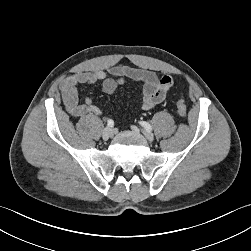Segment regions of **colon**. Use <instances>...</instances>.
<instances>
[{
    "label": "colon",
    "mask_w": 251,
    "mask_h": 251,
    "mask_svg": "<svg viewBox=\"0 0 251 251\" xmlns=\"http://www.w3.org/2000/svg\"><path fill=\"white\" fill-rule=\"evenodd\" d=\"M177 112L181 117L187 116V107L182 99L177 101Z\"/></svg>",
    "instance_id": "5ec220e1"
}]
</instances>
